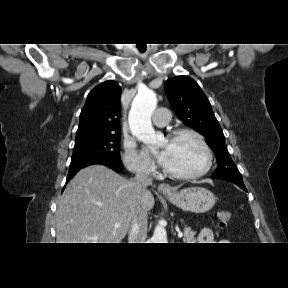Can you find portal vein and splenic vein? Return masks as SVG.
<instances>
[{
  "instance_id": "obj_1",
  "label": "portal vein and splenic vein",
  "mask_w": 288,
  "mask_h": 288,
  "mask_svg": "<svg viewBox=\"0 0 288 288\" xmlns=\"http://www.w3.org/2000/svg\"><path fill=\"white\" fill-rule=\"evenodd\" d=\"M115 227H119V224H115ZM182 236H183V233H182V232H179V233H178V237L181 238Z\"/></svg>"
}]
</instances>
